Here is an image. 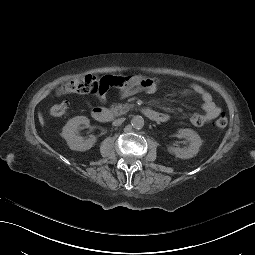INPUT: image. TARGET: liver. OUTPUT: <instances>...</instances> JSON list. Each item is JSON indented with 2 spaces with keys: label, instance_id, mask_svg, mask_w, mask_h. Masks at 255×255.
<instances>
[{
  "label": "liver",
  "instance_id": "obj_1",
  "mask_svg": "<svg viewBox=\"0 0 255 255\" xmlns=\"http://www.w3.org/2000/svg\"><path fill=\"white\" fill-rule=\"evenodd\" d=\"M38 118H39L41 127L44 128L45 127V119H44L43 114L40 111L38 112Z\"/></svg>",
  "mask_w": 255,
  "mask_h": 255
}]
</instances>
